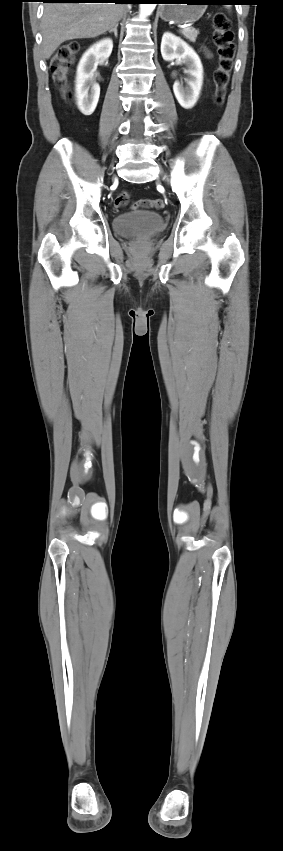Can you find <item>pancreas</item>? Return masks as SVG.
Segmentation results:
<instances>
[{
	"mask_svg": "<svg viewBox=\"0 0 283 851\" xmlns=\"http://www.w3.org/2000/svg\"><path fill=\"white\" fill-rule=\"evenodd\" d=\"M181 34L188 39L190 42H195L196 38L199 34V31L194 28L183 29Z\"/></svg>",
	"mask_w": 283,
	"mask_h": 851,
	"instance_id": "cf45deb5",
	"label": "pancreas"
}]
</instances>
